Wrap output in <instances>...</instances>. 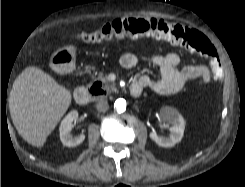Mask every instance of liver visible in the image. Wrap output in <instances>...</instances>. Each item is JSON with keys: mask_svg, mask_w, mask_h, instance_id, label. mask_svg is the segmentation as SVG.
Returning <instances> with one entry per match:
<instances>
[{"mask_svg": "<svg viewBox=\"0 0 245 187\" xmlns=\"http://www.w3.org/2000/svg\"><path fill=\"white\" fill-rule=\"evenodd\" d=\"M68 89L38 67H27L16 78L9 96L11 118L19 135L42 147L71 104Z\"/></svg>", "mask_w": 245, "mask_h": 187, "instance_id": "obj_1", "label": "liver"}]
</instances>
